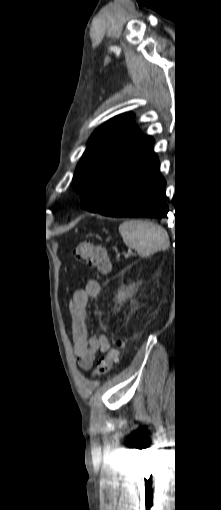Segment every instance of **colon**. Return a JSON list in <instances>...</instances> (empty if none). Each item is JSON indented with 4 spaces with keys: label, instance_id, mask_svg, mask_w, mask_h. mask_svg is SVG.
<instances>
[{
    "label": "colon",
    "instance_id": "colon-1",
    "mask_svg": "<svg viewBox=\"0 0 221 510\" xmlns=\"http://www.w3.org/2000/svg\"><path fill=\"white\" fill-rule=\"evenodd\" d=\"M74 255L78 261L88 264L100 272L105 273L110 269V257L107 250L101 246H95L90 242L84 241L77 246ZM123 347L124 342L117 341L115 345L100 358L95 370L97 376L105 375L112 369L113 365L118 361L120 351Z\"/></svg>",
    "mask_w": 221,
    "mask_h": 510
}]
</instances>
